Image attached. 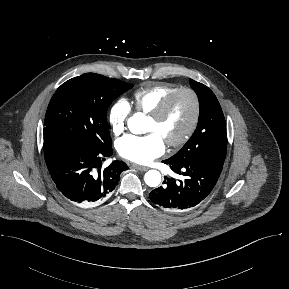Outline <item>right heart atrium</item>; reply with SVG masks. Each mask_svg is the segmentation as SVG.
Returning a JSON list of instances; mask_svg holds the SVG:
<instances>
[{"instance_id": "d8ad5b80", "label": "right heart atrium", "mask_w": 289, "mask_h": 289, "mask_svg": "<svg viewBox=\"0 0 289 289\" xmlns=\"http://www.w3.org/2000/svg\"><path fill=\"white\" fill-rule=\"evenodd\" d=\"M130 103L123 98L116 100L110 107L108 119L111 126V131L114 135H121L127 124V119L131 114Z\"/></svg>"}]
</instances>
